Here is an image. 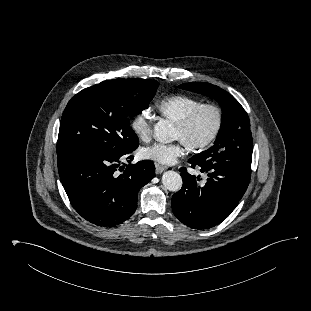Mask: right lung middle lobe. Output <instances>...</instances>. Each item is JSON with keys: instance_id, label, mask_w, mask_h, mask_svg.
<instances>
[{"instance_id": "dd1d6c3e", "label": "right lung middle lobe", "mask_w": 311, "mask_h": 311, "mask_svg": "<svg viewBox=\"0 0 311 311\" xmlns=\"http://www.w3.org/2000/svg\"><path fill=\"white\" fill-rule=\"evenodd\" d=\"M158 86L148 79H113L77 93L62 115L57 154L122 156L133 152L139 140L130 118L148 106Z\"/></svg>"}]
</instances>
